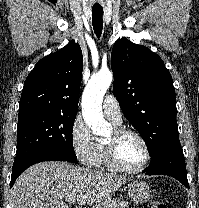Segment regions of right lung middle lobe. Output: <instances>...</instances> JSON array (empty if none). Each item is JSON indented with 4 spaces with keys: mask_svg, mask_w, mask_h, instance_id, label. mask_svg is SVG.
Wrapping results in <instances>:
<instances>
[{
    "mask_svg": "<svg viewBox=\"0 0 199 208\" xmlns=\"http://www.w3.org/2000/svg\"><path fill=\"white\" fill-rule=\"evenodd\" d=\"M76 114L30 110L19 112L17 152L13 166L34 156L56 154L76 162L72 131Z\"/></svg>",
    "mask_w": 199,
    "mask_h": 208,
    "instance_id": "1",
    "label": "right lung middle lobe"
}]
</instances>
